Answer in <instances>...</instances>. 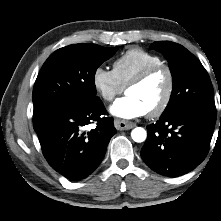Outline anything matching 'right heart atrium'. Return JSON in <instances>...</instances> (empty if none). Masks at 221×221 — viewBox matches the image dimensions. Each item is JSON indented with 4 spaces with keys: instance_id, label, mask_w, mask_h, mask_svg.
Instances as JSON below:
<instances>
[{
    "instance_id": "right-heart-atrium-1",
    "label": "right heart atrium",
    "mask_w": 221,
    "mask_h": 221,
    "mask_svg": "<svg viewBox=\"0 0 221 221\" xmlns=\"http://www.w3.org/2000/svg\"><path fill=\"white\" fill-rule=\"evenodd\" d=\"M92 83L97 94L106 102H111L124 90V86L119 82L114 72L102 66H98L93 71Z\"/></svg>"
}]
</instances>
